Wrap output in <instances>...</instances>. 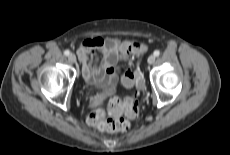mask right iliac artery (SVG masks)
Returning <instances> with one entry per match:
<instances>
[{"label": "right iliac artery", "instance_id": "obj_1", "mask_svg": "<svg viewBox=\"0 0 230 155\" xmlns=\"http://www.w3.org/2000/svg\"><path fill=\"white\" fill-rule=\"evenodd\" d=\"M64 54H65L66 56H69V55H70V51H69V50H65V51H64Z\"/></svg>", "mask_w": 230, "mask_h": 155}]
</instances>
